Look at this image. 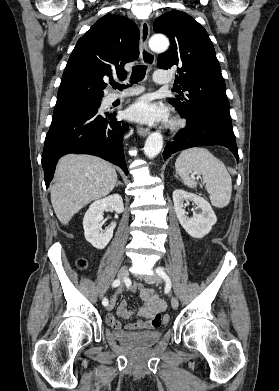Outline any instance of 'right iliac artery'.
I'll use <instances>...</instances> for the list:
<instances>
[{
    "instance_id": "1",
    "label": "right iliac artery",
    "mask_w": 279,
    "mask_h": 391,
    "mask_svg": "<svg viewBox=\"0 0 279 391\" xmlns=\"http://www.w3.org/2000/svg\"><path fill=\"white\" fill-rule=\"evenodd\" d=\"M119 285H120V280L119 279L114 280L113 283H112V287H117ZM102 304L104 306H107L108 305V299L104 298L103 301H102Z\"/></svg>"
}]
</instances>
